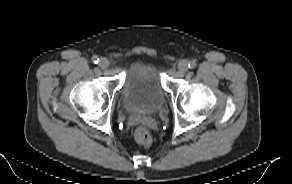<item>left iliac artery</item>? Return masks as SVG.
I'll return each instance as SVG.
<instances>
[{
  "label": "left iliac artery",
  "mask_w": 292,
  "mask_h": 184,
  "mask_svg": "<svg viewBox=\"0 0 292 184\" xmlns=\"http://www.w3.org/2000/svg\"><path fill=\"white\" fill-rule=\"evenodd\" d=\"M188 67H189L190 69H194V68L196 67V62H195V61H190V62L188 63Z\"/></svg>",
  "instance_id": "1"
}]
</instances>
